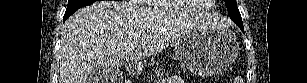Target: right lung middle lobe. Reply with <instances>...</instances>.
<instances>
[{"mask_svg": "<svg viewBox=\"0 0 307 83\" xmlns=\"http://www.w3.org/2000/svg\"><path fill=\"white\" fill-rule=\"evenodd\" d=\"M95 1L96 0H68V5L65 13H74L77 9L83 6H87Z\"/></svg>", "mask_w": 307, "mask_h": 83, "instance_id": "dd1d6c3e", "label": "right lung middle lobe"}]
</instances>
